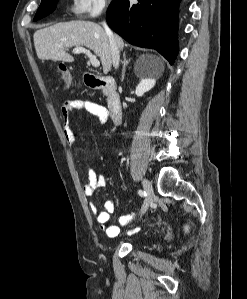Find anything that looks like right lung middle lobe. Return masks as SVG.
<instances>
[{"label":"right lung middle lobe","mask_w":247,"mask_h":299,"mask_svg":"<svg viewBox=\"0 0 247 299\" xmlns=\"http://www.w3.org/2000/svg\"><path fill=\"white\" fill-rule=\"evenodd\" d=\"M57 1L58 0H42L41 5L39 6L38 11L34 17V21L52 13L56 8Z\"/></svg>","instance_id":"1"}]
</instances>
